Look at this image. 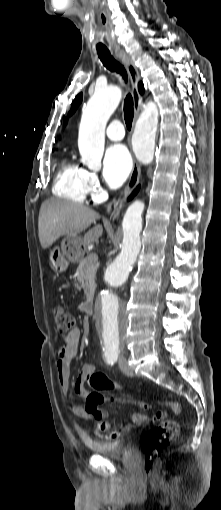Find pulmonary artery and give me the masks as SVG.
<instances>
[{"label": "pulmonary artery", "instance_id": "e3ab8cb5", "mask_svg": "<svg viewBox=\"0 0 221 510\" xmlns=\"http://www.w3.org/2000/svg\"><path fill=\"white\" fill-rule=\"evenodd\" d=\"M107 137L112 141H120L124 137V128L119 121L110 123L106 129Z\"/></svg>", "mask_w": 221, "mask_h": 510}]
</instances>
